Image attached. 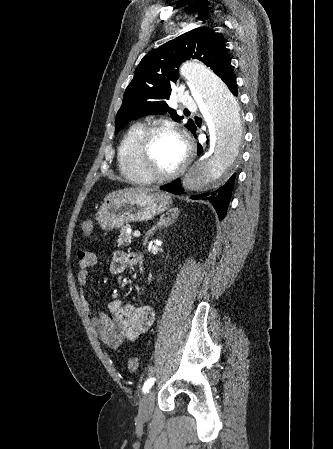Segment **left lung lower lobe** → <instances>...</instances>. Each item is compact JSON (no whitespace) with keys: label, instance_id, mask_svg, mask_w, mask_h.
<instances>
[{"label":"left lung lower lobe","instance_id":"1","mask_svg":"<svg viewBox=\"0 0 333 449\" xmlns=\"http://www.w3.org/2000/svg\"><path fill=\"white\" fill-rule=\"evenodd\" d=\"M223 81L226 83V85L228 86L230 91L234 95H236L237 94V85H236V77H235L234 73L231 71L223 79ZM195 131L192 133L196 136ZM201 152L202 151L199 150L198 154H201ZM234 180H235V174H233L227 180V182L219 189H217L213 192L196 194V195L191 196V198L194 200H197V199L209 200L213 204V206L219 216V219L222 220L226 214V210H227V207L229 204V200H230L233 185H234ZM160 189L168 191V192H172L174 194H180L183 192L180 179H177L167 185L161 186Z\"/></svg>","mask_w":333,"mask_h":449}]
</instances>
